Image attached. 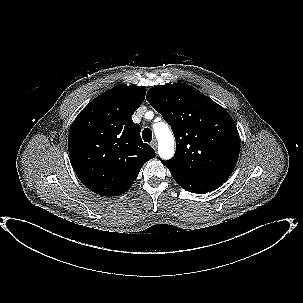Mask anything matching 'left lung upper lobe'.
Listing matches in <instances>:
<instances>
[{"mask_svg":"<svg viewBox=\"0 0 303 303\" xmlns=\"http://www.w3.org/2000/svg\"><path fill=\"white\" fill-rule=\"evenodd\" d=\"M147 101L171 126L176 139L174 157L162 161L170 171L191 176L233 172L239 133L223 107L183 83L153 87Z\"/></svg>","mask_w":303,"mask_h":303,"instance_id":"left-lung-upper-lobe-1","label":"left lung upper lobe"}]
</instances>
